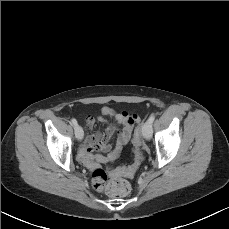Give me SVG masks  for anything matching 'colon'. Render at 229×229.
<instances>
[{"label":"colon","instance_id":"5ec220e1","mask_svg":"<svg viewBox=\"0 0 229 229\" xmlns=\"http://www.w3.org/2000/svg\"><path fill=\"white\" fill-rule=\"evenodd\" d=\"M135 149V161L133 166L127 171L128 175L133 174L141 163V145L143 143L141 128H137L133 137ZM92 183L99 190H105L115 199H123L131 193L129 182L123 178L109 179L107 172L102 168H97L92 173Z\"/></svg>","mask_w":229,"mask_h":229}]
</instances>
